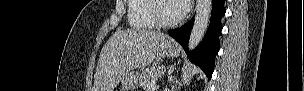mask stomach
I'll return each mask as SVG.
<instances>
[{"label": "stomach", "mask_w": 304, "mask_h": 91, "mask_svg": "<svg viewBox=\"0 0 304 91\" xmlns=\"http://www.w3.org/2000/svg\"><path fill=\"white\" fill-rule=\"evenodd\" d=\"M180 48L172 39H165L156 51L157 58L178 57ZM124 91H134L137 86V76L132 72H128L121 80Z\"/></svg>", "instance_id": "obj_1"}]
</instances>
